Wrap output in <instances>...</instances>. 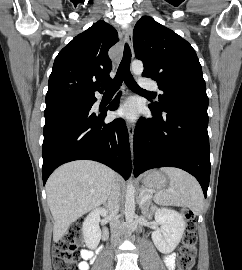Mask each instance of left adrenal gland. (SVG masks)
<instances>
[{
  "instance_id": "a2214340",
  "label": "left adrenal gland",
  "mask_w": 242,
  "mask_h": 270,
  "mask_svg": "<svg viewBox=\"0 0 242 270\" xmlns=\"http://www.w3.org/2000/svg\"><path fill=\"white\" fill-rule=\"evenodd\" d=\"M142 198H143V194L141 193L140 194V197H139V207L141 209L142 214L148 215V204H147V201H143V203H142Z\"/></svg>"
}]
</instances>
